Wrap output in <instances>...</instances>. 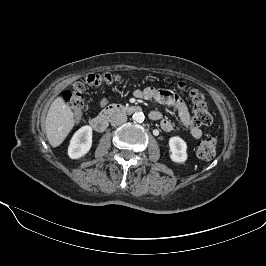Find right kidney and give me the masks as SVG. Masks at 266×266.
<instances>
[{"label":"right kidney","instance_id":"right-kidney-1","mask_svg":"<svg viewBox=\"0 0 266 266\" xmlns=\"http://www.w3.org/2000/svg\"><path fill=\"white\" fill-rule=\"evenodd\" d=\"M92 146V128L88 125L78 129L68 147V155L71 159H79L86 155Z\"/></svg>","mask_w":266,"mask_h":266}]
</instances>
